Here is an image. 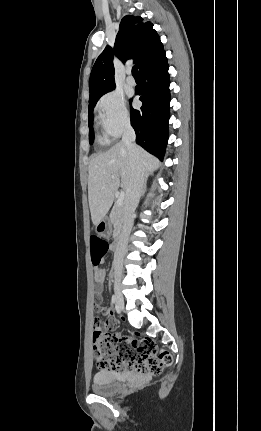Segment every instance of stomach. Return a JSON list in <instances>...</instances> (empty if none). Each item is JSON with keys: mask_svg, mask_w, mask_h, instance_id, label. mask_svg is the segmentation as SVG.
Returning a JSON list of instances; mask_svg holds the SVG:
<instances>
[{"mask_svg": "<svg viewBox=\"0 0 261 431\" xmlns=\"http://www.w3.org/2000/svg\"><path fill=\"white\" fill-rule=\"evenodd\" d=\"M95 231L97 234L103 237L110 236L112 232V225L108 218H103L100 222L95 225Z\"/></svg>", "mask_w": 261, "mask_h": 431, "instance_id": "1", "label": "stomach"}]
</instances>
